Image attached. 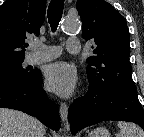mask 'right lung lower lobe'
I'll return each mask as SVG.
<instances>
[{
    "label": "right lung lower lobe",
    "instance_id": "obj_1",
    "mask_svg": "<svg viewBox=\"0 0 144 137\" xmlns=\"http://www.w3.org/2000/svg\"><path fill=\"white\" fill-rule=\"evenodd\" d=\"M0 107L11 108L36 116L53 130H59L60 119L56 104L41 86V72L26 84L1 83Z\"/></svg>",
    "mask_w": 144,
    "mask_h": 137
}]
</instances>
